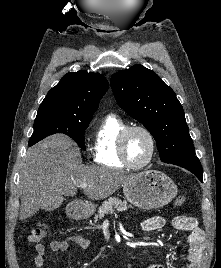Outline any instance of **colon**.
Segmentation results:
<instances>
[{
  "instance_id": "obj_1",
  "label": "colon",
  "mask_w": 221,
  "mask_h": 268,
  "mask_svg": "<svg viewBox=\"0 0 221 268\" xmlns=\"http://www.w3.org/2000/svg\"><path fill=\"white\" fill-rule=\"evenodd\" d=\"M186 201V198L184 196H178L174 203L176 206H182ZM47 234V227L46 225L40 224L37 227L33 228L29 235H28V241L31 243H37L41 239H43Z\"/></svg>"
}]
</instances>
